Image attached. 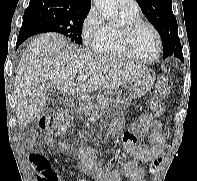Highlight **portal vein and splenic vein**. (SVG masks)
<instances>
[{"mask_svg": "<svg viewBox=\"0 0 197 181\" xmlns=\"http://www.w3.org/2000/svg\"><path fill=\"white\" fill-rule=\"evenodd\" d=\"M86 79H88V76H86V75H79V76L77 77V80H78V81H85Z\"/></svg>", "mask_w": 197, "mask_h": 181, "instance_id": "obj_1", "label": "portal vein and splenic vein"}]
</instances>
